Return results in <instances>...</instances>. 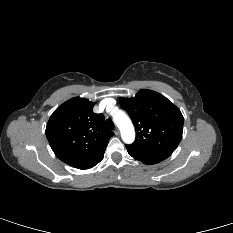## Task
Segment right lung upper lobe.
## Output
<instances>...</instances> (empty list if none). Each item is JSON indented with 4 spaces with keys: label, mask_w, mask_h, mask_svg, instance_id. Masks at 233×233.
<instances>
[{
    "label": "right lung upper lobe",
    "mask_w": 233,
    "mask_h": 233,
    "mask_svg": "<svg viewBox=\"0 0 233 233\" xmlns=\"http://www.w3.org/2000/svg\"><path fill=\"white\" fill-rule=\"evenodd\" d=\"M94 103L75 97L60 105L46 126V136L55 155L64 163L89 169L104 157L114 133L105 128V117L93 112Z\"/></svg>",
    "instance_id": "right-lung-upper-lobe-1"
}]
</instances>
